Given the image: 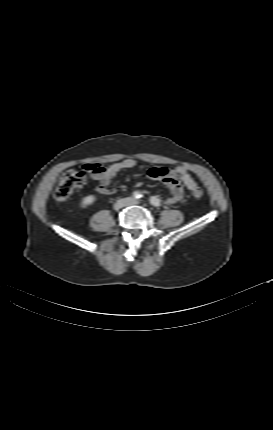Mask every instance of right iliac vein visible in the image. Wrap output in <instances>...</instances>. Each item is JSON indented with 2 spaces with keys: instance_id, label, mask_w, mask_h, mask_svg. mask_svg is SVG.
<instances>
[{
  "instance_id": "right-iliac-vein-1",
  "label": "right iliac vein",
  "mask_w": 273,
  "mask_h": 430,
  "mask_svg": "<svg viewBox=\"0 0 273 430\" xmlns=\"http://www.w3.org/2000/svg\"><path fill=\"white\" fill-rule=\"evenodd\" d=\"M128 203V199H119L115 204H114V209L115 210H119L123 207H125Z\"/></svg>"
}]
</instances>
